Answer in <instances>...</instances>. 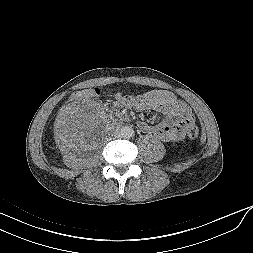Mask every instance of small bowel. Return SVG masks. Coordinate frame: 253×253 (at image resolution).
<instances>
[{"label":"small bowel","mask_w":253,"mask_h":253,"mask_svg":"<svg viewBox=\"0 0 253 253\" xmlns=\"http://www.w3.org/2000/svg\"><path fill=\"white\" fill-rule=\"evenodd\" d=\"M115 105L119 108L133 107L137 110H154L165 119L151 126L141 122L140 129L163 142H176L185 137L188 127L193 124L191 109L174 93L167 90H152L143 95H117Z\"/></svg>","instance_id":"small-bowel-1"}]
</instances>
